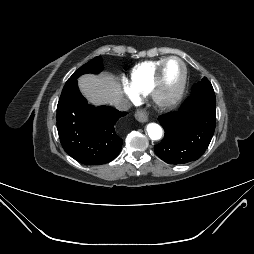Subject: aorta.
Returning a JSON list of instances; mask_svg holds the SVG:
<instances>
[{
  "label": "aorta",
  "instance_id": "1",
  "mask_svg": "<svg viewBox=\"0 0 254 254\" xmlns=\"http://www.w3.org/2000/svg\"><path fill=\"white\" fill-rule=\"evenodd\" d=\"M147 132L152 140H159L162 137V128L156 123L147 125Z\"/></svg>",
  "mask_w": 254,
  "mask_h": 254
}]
</instances>
